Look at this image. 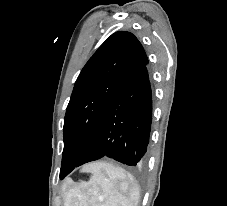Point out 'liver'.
<instances>
[{
	"instance_id": "obj_1",
	"label": "liver",
	"mask_w": 227,
	"mask_h": 206,
	"mask_svg": "<svg viewBox=\"0 0 227 206\" xmlns=\"http://www.w3.org/2000/svg\"><path fill=\"white\" fill-rule=\"evenodd\" d=\"M94 165H95V164H92V165L86 166V167H85V170H87V169H89V168L93 167Z\"/></svg>"
}]
</instances>
